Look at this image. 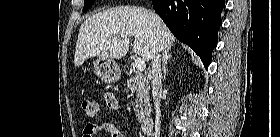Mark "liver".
Segmentation results:
<instances>
[{"label":"liver","instance_id":"6515ba94","mask_svg":"<svg viewBox=\"0 0 280 137\" xmlns=\"http://www.w3.org/2000/svg\"><path fill=\"white\" fill-rule=\"evenodd\" d=\"M130 36H134L133 51L147 62L153 59L157 48L164 51L175 42L167 26L151 11L136 6L110 8L92 15L81 25L75 66L90 57L121 59L129 50Z\"/></svg>","mask_w":280,"mask_h":137}]
</instances>
